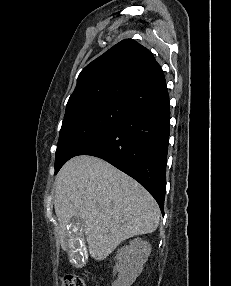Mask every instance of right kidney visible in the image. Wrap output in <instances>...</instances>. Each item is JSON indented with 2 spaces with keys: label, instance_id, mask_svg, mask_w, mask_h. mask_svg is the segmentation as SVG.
<instances>
[{
  "label": "right kidney",
  "instance_id": "obj_1",
  "mask_svg": "<svg viewBox=\"0 0 231 286\" xmlns=\"http://www.w3.org/2000/svg\"><path fill=\"white\" fill-rule=\"evenodd\" d=\"M151 253V245L147 241L136 238L130 241L129 246L118 250L114 272H118V278L112 286H131L143 270V264Z\"/></svg>",
  "mask_w": 231,
  "mask_h": 286
}]
</instances>
